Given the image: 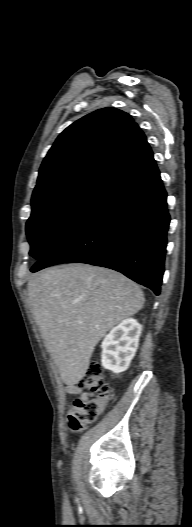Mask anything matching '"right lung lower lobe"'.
I'll list each match as a JSON object with an SVG mask.
<instances>
[{
  "instance_id": "obj_1",
  "label": "right lung lower lobe",
  "mask_w": 192,
  "mask_h": 527,
  "mask_svg": "<svg viewBox=\"0 0 192 527\" xmlns=\"http://www.w3.org/2000/svg\"><path fill=\"white\" fill-rule=\"evenodd\" d=\"M166 199L148 145L106 182L31 271L87 263L119 271L159 295L170 222Z\"/></svg>"
}]
</instances>
